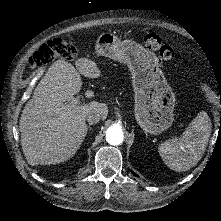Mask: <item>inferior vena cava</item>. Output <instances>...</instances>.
I'll return each instance as SVG.
<instances>
[{"instance_id": "1", "label": "inferior vena cava", "mask_w": 221, "mask_h": 221, "mask_svg": "<svg viewBox=\"0 0 221 221\" xmlns=\"http://www.w3.org/2000/svg\"><path fill=\"white\" fill-rule=\"evenodd\" d=\"M102 118L101 113L92 112L86 116V120L90 125L98 123Z\"/></svg>"}]
</instances>
